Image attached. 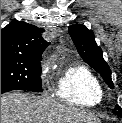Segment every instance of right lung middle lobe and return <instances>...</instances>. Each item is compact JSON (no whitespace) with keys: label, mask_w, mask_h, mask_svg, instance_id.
Wrapping results in <instances>:
<instances>
[{"label":"right lung middle lobe","mask_w":122,"mask_h":123,"mask_svg":"<svg viewBox=\"0 0 122 123\" xmlns=\"http://www.w3.org/2000/svg\"><path fill=\"white\" fill-rule=\"evenodd\" d=\"M41 58L1 56V89L42 92Z\"/></svg>","instance_id":"dd1d6c3e"}]
</instances>
